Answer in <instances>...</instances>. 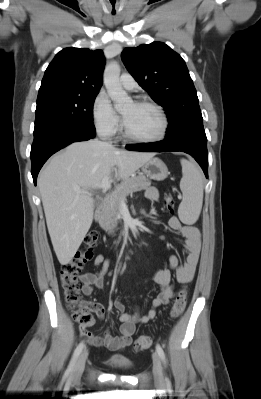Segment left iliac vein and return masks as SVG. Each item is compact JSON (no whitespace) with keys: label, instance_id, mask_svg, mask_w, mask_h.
<instances>
[{"label":"left iliac vein","instance_id":"4c4485c4","mask_svg":"<svg viewBox=\"0 0 261 399\" xmlns=\"http://www.w3.org/2000/svg\"><path fill=\"white\" fill-rule=\"evenodd\" d=\"M153 376L157 382H161L163 380L162 364L157 353L153 354Z\"/></svg>","mask_w":261,"mask_h":399}]
</instances>
